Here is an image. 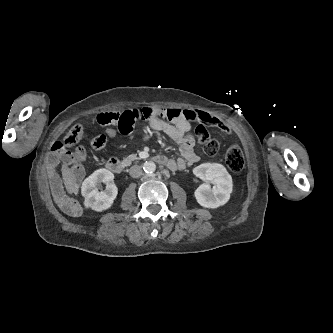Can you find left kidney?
<instances>
[{
	"label": "left kidney",
	"instance_id": "obj_1",
	"mask_svg": "<svg viewBox=\"0 0 333 333\" xmlns=\"http://www.w3.org/2000/svg\"><path fill=\"white\" fill-rule=\"evenodd\" d=\"M193 173L209 183L201 184L194 193L197 202L205 208H217L228 202L232 192V177L226 168L218 163H203L193 169Z\"/></svg>",
	"mask_w": 333,
	"mask_h": 333
}]
</instances>
